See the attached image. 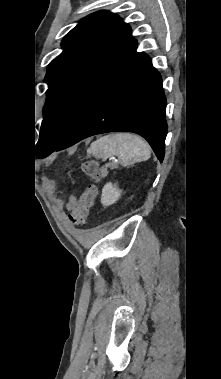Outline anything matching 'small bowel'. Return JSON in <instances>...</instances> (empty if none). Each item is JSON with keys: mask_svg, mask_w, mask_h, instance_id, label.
I'll return each mask as SVG.
<instances>
[{"mask_svg": "<svg viewBox=\"0 0 221 379\" xmlns=\"http://www.w3.org/2000/svg\"><path fill=\"white\" fill-rule=\"evenodd\" d=\"M76 202H77L76 198L72 196L67 203V209L72 210Z\"/></svg>", "mask_w": 221, "mask_h": 379, "instance_id": "obj_1", "label": "small bowel"}]
</instances>
